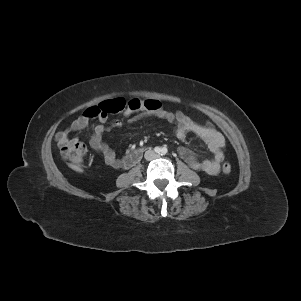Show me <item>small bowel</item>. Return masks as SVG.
<instances>
[{"instance_id": "small-bowel-1", "label": "small bowel", "mask_w": 301, "mask_h": 301, "mask_svg": "<svg viewBox=\"0 0 301 301\" xmlns=\"http://www.w3.org/2000/svg\"><path fill=\"white\" fill-rule=\"evenodd\" d=\"M147 112L173 124L175 126V135L178 139L185 140L190 135H194L212 152V158L200 159L194 151L185 147H180L178 150L180 156L191 168L207 174H216L219 172L220 165L224 160L226 142L224 136L218 132L210 122L201 125L181 111L171 112L163 107L156 112ZM131 113L132 111L125 110L123 115L132 120L133 118L130 117ZM90 119L91 118L85 113L78 116L72 121L67 130L60 131L56 134L55 139L57 143L60 146H64L74 141H78L71 133L86 128ZM118 125V122L108 123L106 116H99L94 127V132L90 137L91 147L102 155L107 166L114 169L124 168L125 158H118L116 156L115 152L104 141V134Z\"/></svg>"}]
</instances>
